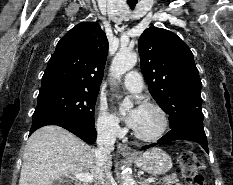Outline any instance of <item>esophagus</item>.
<instances>
[{"instance_id": "1", "label": "esophagus", "mask_w": 233, "mask_h": 185, "mask_svg": "<svg viewBox=\"0 0 233 185\" xmlns=\"http://www.w3.org/2000/svg\"><path fill=\"white\" fill-rule=\"evenodd\" d=\"M117 151L124 156L134 155V151L130 147L122 143L117 144Z\"/></svg>"}]
</instances>
